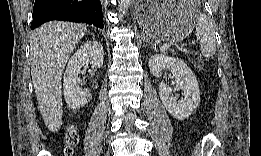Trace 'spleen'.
<instances>
[{"label":"spleen","mask_w":261,"mask_h":156,"mask_svg":"<svg viewBox=\"0 0 261 156\" xmlns=\"http://www.w3.org/2000/svg\"><path fill=\"white\" fill-rule=\"evenodd\" d=\"M196 37L200 40V50L204 57L210 58L216 53V39L210 19L199 14L196 24Z\"/></svg>","instance_id":"obj_1"}]
</instances>
